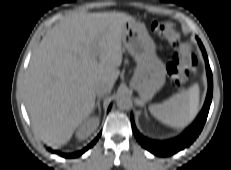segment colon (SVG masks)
Instances as JSON below:
<instances>
[{
	"mask_svg": "<svg viewBox=\"0 0 231 170\" xmlns=\"http://www.w3.org/2000/svg\"><path fill=\"white\" fill-rule=\"evenodd\" d=\"M151 26L152 29H154L155 31L161 34L166 35L170 40L174 42H180L179 34L168 23L153 22ZM182 53H183L184 60L188 62L190 60V53H189V48L186 44L182 45ZM184 73H185V66L184 65L177 66L172 73V79L174 81H177L184 77Z\"/></svg>",
	"mask_w": 231,
	"mask_h": 170,
	"instance_id": "obj_1",
	"label": "colon"
}]
</instances>
